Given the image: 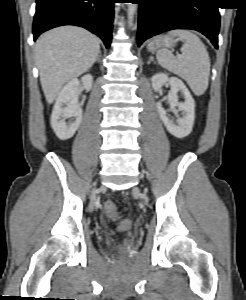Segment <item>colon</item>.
<instances>
[{"instance_id": "obj_1", "label": "colon", "mask_w": 246, "mask_h": 300, "mask_svg": "<svg viewBox=\"0 0 246 300\" xmlns=\"http://www.w3.org/2000/svg\"><path fill=\"white\" fill-rule=\"evenodd\" d=\"M104 212L108 219L116 222L119 228L123 231L128 230L131 226V222L128 219H121L117 205L112 200H107L104 203Z\"/></svg>"}]
</instances>
